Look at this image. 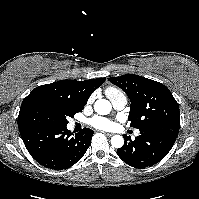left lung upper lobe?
Listing matches in <instances>:
<instances>
[{
	"instance_id": "5c2ea615",
	"label": "left lung upper lobe",
	"mask_w": 199,
	"mask_h": 199,
	"mask_svg": "<svg viewBox=\"0 0 199 199\" xmlns=\"http://www.w3.org/2000/svg\"><path fill=\"white\" fill-rule=\"evenodd\" d=\"M108 80L124 90L131 100V127L141 130L161 122L180 120L178 103L165 85L133 74Z\"/></svg>"
}]
</instances>
